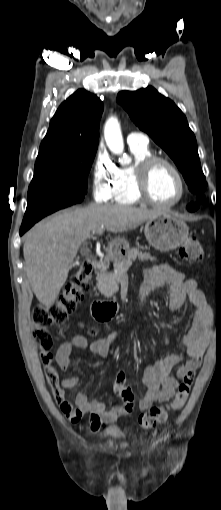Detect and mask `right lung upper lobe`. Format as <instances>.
Segmentation results:
<instances>
[{"instance_id": "right-lung-upper-lobe-1", "label": "right lung upper lobe", "mask_w": 221, "mask_h": 510, "mask_svg": "<svg viewBox=\"0 0 221 510\" xmlns=\"http://www.w3.org/2000/svg\"><path fill=\"white\" fill-rule=\"evenodd\" d=\"M101 100L84 89L64 101L53 116L37 159L98 147Z\"/></svg>"}]
</instances>
